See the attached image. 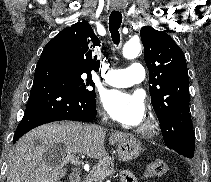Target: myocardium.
Returning a JSON list of instances; mask_svg holds the SVG:
<instances>
[{
  "label": "myocardium",
  "mask_w": 211,
  "mask_h": 182,
  "mask_svg": "<svg viewBox=\"0 0 211 182\" xmlns=\"http://www.w3.org/2000/svg\"><path fill=\"white\" fill-rule=\"evenodd\" d=\"M157 128V119L154 115L149 114L145 122L137 129V132L142 135H150Z\"/></svg>",
  "instance_id": "f54148a6"
}]
</instances>
